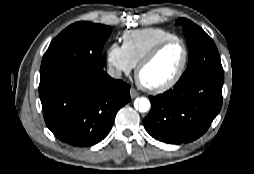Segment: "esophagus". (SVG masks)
<instances>
[{"instance_id": "34e87169", "label": "esophagus", "mask_w": 254, "mask_h": 174, "mask_svg": "<svg viewBox=\"0 0 254 174\" xmlns=\"http://www.w3.org/2000/svg\"><path fill=\"white\" fill-rule=\"evenodd\" d=\"M138 95H139V93H138V91L136 89H134V88L130 89V96H131V98H135Z\"/></svg>"}]
</instances>
